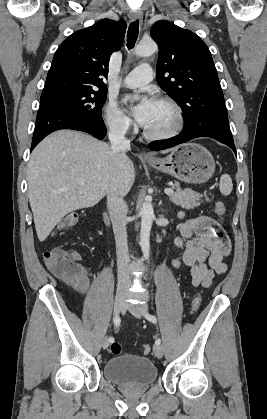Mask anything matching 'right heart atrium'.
<instances>
[{"mask_svg":"<svg viewBox=\"0 0 267 419\" xmlns=\"http://www.w3.org/2000/svg\"><path fill=\"white\" fill-rule=\"evenodd\" d=\"M104 121L110 131L124 135L132 126L131 119L114 101H109L104 109Z\"/></svg>","mask_w":267,"mask_h":419,"instance_id":"right-heart-atrium-1","label":"right heart atrium"}]
</instances>
